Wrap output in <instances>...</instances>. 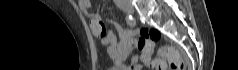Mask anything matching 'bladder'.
<instances>
[{"label":"bladder","instance_id":"31cf9c89","mask_svg":"<svg viewBox=\"0 0 238 70\" xmlns=\"http://www.w3.org/2000/svg\"><path fill=\"white\" fill-rule=\"evenodd\" d=\"M109 70H118V69H116L115 67H112V68H110Z\"/></svg>","mask_w":238,"mask_h":70}]
</instances>
